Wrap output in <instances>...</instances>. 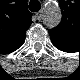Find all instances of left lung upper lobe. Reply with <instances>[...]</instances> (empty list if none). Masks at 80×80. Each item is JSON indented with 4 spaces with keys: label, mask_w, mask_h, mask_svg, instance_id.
<instances>
[{
    "label": "left lung upper lobe",
    "mask_w": 80,
    "mask_h": 80,
    "mask_svg": "<svg viewBox=\"0 0 80 80\" xmlns=\"http://www.w3.org/2000/svg\"><path fill=\"white\" fill-rule=\"evenodd\" d=\"M66 5L67 4L64 1L60 2L63 14L62 21L57 27L50 29L49 34L53 40H55V35H57L60 40H65L66 43H69V40L72 39L74 32L79 35L80 22L77 21V18H75L71 9Z\"/></svg>",
    "instance_id": "1"
}]
</instances>
